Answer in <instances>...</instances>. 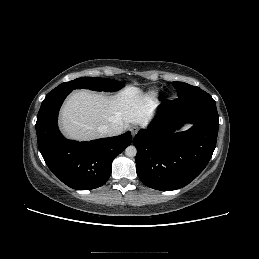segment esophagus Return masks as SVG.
Returning a JSON list of instances; mask_svg holds the SVG:
<instances>
[{
  "mask_svg": "<svg viewBox=\"0 0 259 259\" xmlns=\"http://www.w3.org/2000/svg\"><path fill=\"white\" fill-rule=\"evenodd\" d=\"M138 127H136V126H133L132 128H131V133H132V136L134 137L136 134H137V132H138Z\"/></svg>",
  "mask_w": 259,
  "mask_h": 259,
  "instance_id": "obj_1",
  "label": "esophagus"
}]
</instances>
